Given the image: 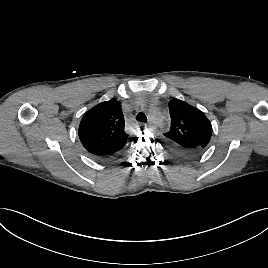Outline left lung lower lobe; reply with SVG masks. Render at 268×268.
I'll return each instance as SVG.
<instances>
[{
	"label": "left lung lower lobe",
	"mask_w": 268,
	"mask_h": 268,
	"mask_svg": "<svg viewBox=\"0 0 268 268\" xmlns=\"http://www.w3.org/2000/svg\"><path fill=\"white\" fill-rule=\"evenodd\" d=\"M170 148L172 149V151L183 158H195L197 156H199L204 150H200V149H184V148H180V147H176L174 144L170 143Z\"/></svg>",
	"instance_id": "0a47b994"
}]
</instances>
